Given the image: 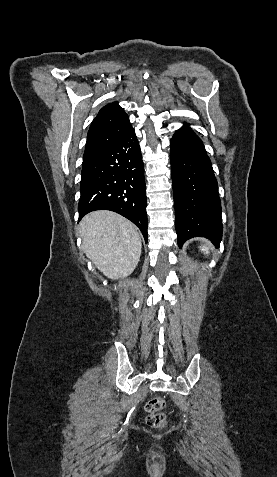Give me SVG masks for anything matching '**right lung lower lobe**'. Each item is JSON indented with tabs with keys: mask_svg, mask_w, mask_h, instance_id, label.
Instances as JSON below:
<instances>
[{
	"mask_svg": "<svg viewBox=\"0 0 277 477\" xmlns=\"http://www.w3.org/2000/svg\"><path fill=\"white\" fill-rule=\"evenodd\" d=\"M79 220L94 210H111L132 221L147 242L144 164L133 128L113 144L83 156Z\"/></svg>",
	"mask_w": 277,
	"mask_h": 477,
	"instance_id": "98d812e1",
	"label": "right lung lower lobe"
}]
</instances>
